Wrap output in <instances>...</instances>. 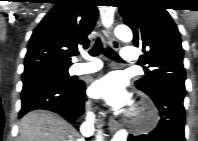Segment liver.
Returning a JSON list of instances; mask_svg holds the SVG:
<instances>
[{"label":"liver","instance_id":"1","mask_svg":"<svg viewBox=\"0 0 198 141\" xmlns=\"http://www.w3.org/2000/svg\"><path fill=\"white\" fill-rule=\"evenodd\" d=\"M77 136L76 130L60 116L35 110L21 119L17 141H76Z\"/></svg>","mask_w":198,"mask_h":141}]
</instances>
